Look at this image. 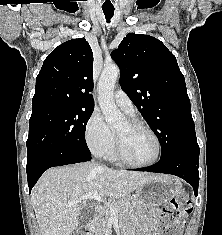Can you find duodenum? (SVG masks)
I'll return each instance as SVG.
<instances>
[{"label":"duodenum","instance_id":"1","mask_svg":"<svg viewBox=\"0 0 222 235\" xmlns=\"http://www.w3.org/2000/svg\"><path fill=\"white\" fill-rule=\"evenodd\" d=\"M100 211H101V208L100 207H96L95 210H94L95 215L99 214ZM86 235H92V233L89 230H87L86 231Z\"/></svg>","mask_w":222,"mask_h":235}]
</instances>
